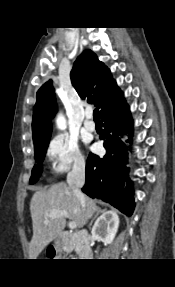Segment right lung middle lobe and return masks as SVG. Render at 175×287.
Returning a JSON list of instances; mask_svg holds the SVG:
<instances>
[{
  "instance_id": "1",
  "label": "right lung middle lobe",
  "mask_w": 175,
  "mask_h": 287,
  "mask_svg": "<svg viewBox=\"0 0 175 287\" xmlns=\"http://www.w3.org/2000/svg\"><path fill=\"white\" fill-rule=\"evenodd\" d=\"M49 140H50V137H48L42 141H39L37 143H34L36 164L34 165V168L32 170V176L30 178V184L37 182V180L39 179V177L42 173V161L45 157L46 150H47V147L49 145Z\"/></svg>"
}]
</instances>
